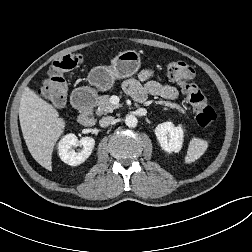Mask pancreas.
<instances>
[{"mask_svg":"<svg viewBox=\"0 0 252 252\" xmlns=\"http://www.w3.org/2000/svg\"><path fill=\"white\" fill-rule=\"evenodd\" d=\"M156 104L176 109L179 112L184 114V110L178 104H175V103H172V102H169V101H163V100L156 101ZM96 105L98 107L97 111H96V114L99 115V116L103 115V114H108L110 112H113V110L118 108V105H114V104H112L110 102V96L109 95H103V96L97 97Z\"/></svg>","mask_w":252,"mask_h":252,"instance_id":"pancreas-1","label":"pancreas"}]
</instances>
